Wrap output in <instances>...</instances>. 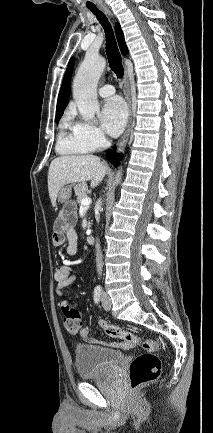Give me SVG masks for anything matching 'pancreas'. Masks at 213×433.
<instances>
[{"label": "pancreas", "instance_id": "pancreas-1", "mask_svg": "<svg viewBox=\"0 0 213 433\" xmlns=\"http://www.w3.org/2000/svg\"><path fill=\"white\" fill-rule=\"evenodd\" d=\"M75 195L77 196V202L81 203L82 199L87 197L88 187L86 183L77 184L74 186Z\"/></svg>", "mask_w": 213, "mask_h": 433}]
</instances>
